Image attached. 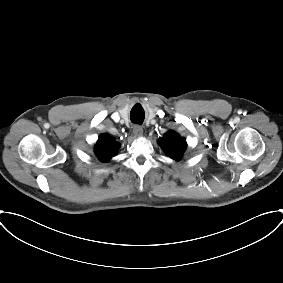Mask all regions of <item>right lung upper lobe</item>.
Segmentation results:
<instances>
[{
  "label": "right lung upper lobe",
  "mask_w": 283,
  "mask_h": 283,
  "mask_svg": "<svg viewBox=\"0 0 283 283\" xmlns=\"http://www.w3.org/2000/svg\"><path fill=\"white\" fill-rule=\"evenodd\" d=\"M119 148L120 144L113 137L102 134L97 142L95 153L101 161H108Z\"/></svg>",
  "instance_id": "obj_1"
}]
</instances>
